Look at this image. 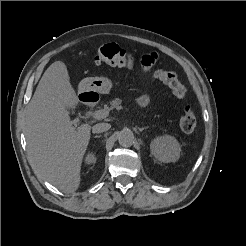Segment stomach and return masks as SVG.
Segmentation results:
<instances>
[{
	"label": "stomach",
	"mask_w": 246,
	"mask_h": 246,
	"mask_svg": "<svg viewBox=\"0 0 246 246\" xmlns=\"http://www.w3.org/2000/svg\"><path fill=\"white\" fill-rule=\"evenodd\" d=\"M112 86V81L107 77H88L79 83V93L96 92L108 94Z\"/></svg>",
	"instance_id": "obj_1"
}]
</instances>
